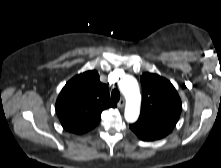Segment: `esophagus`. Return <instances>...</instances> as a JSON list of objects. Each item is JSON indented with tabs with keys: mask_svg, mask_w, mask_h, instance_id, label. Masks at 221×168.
<instances>
[{
	"mask_svg": "<svg viewBox=\"0 0 221 168\" xmlns=\"http://www.w3.org/2000/svg\"><path fill=\"white\" fill-rule=\"evenodd\" d=\"M125 105V99L124 98H121L118 102V107L119 108H123Z\"/></svg>",
	"mask_w": 221,
	"mask_h": 168,
	"instance_id": "esophagus-1",
	"label": "esophagus"
}]
</instances>
